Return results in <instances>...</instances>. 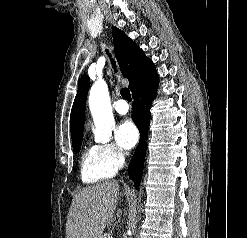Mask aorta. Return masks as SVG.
Returning <instances> with one entry per match:
<instances>
[{"mask_svg":"<svg viewBox=\"0 0 247 238\" xmlns=\"http://www.w3.org/2000/svg\"><path fill=\"white\" fill-rule=\"evenodd\" d=\"M90 111L95 124V141L107 143L112 137L115 125L108 87L103 80H99L91 87L89 94Z\"/></svg>","mask_w":247,"mask_h":238,"instance_id":"762f6f07","label":"aorta"}]
</instances>
